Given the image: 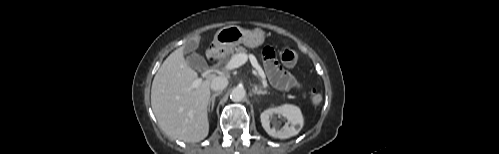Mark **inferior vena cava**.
Here are the masks:
<instances>
[{
    "mask_svg": "<svg viewBox=\"0 0 499 154\" xmlns=\"http://www.w3.org/2000/svg\"><path fill=\"white\" fill-rule=\"evenodd\" d=\"M228 85V79L224 76H217L211 80V89L213 91H222Z\"/></svg>",
    "mask_w": 499,
    "mask_h": 154,
    "instance_id": "obj_1",
    "label": "inferior vena cava"
}]
</instances>
